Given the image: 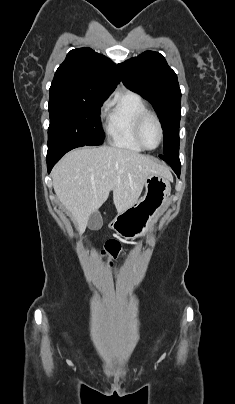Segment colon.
Listing matches in <instances>:
<instances>
[{
	"label": "colon",
	"instance_id": "5ec220e1",
	"mask_svg": "<svg viewBox=\"0 0 235 404\" xmlns=\"http://www.w3.org/2000/svg\"><path fill=\"white\" fill-rule=\"evenodd\" d=\"M122 252V245L117 240H109L103 249L94 255L104 261L105 264L111 265L112 261L117 259Z\"/></svg>",
	"mask_w": 235,
	"mask_h": 404
}]
</instances>
